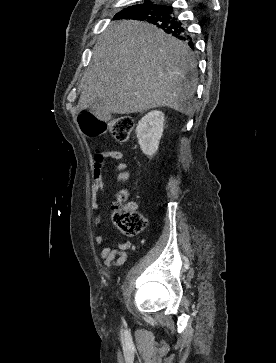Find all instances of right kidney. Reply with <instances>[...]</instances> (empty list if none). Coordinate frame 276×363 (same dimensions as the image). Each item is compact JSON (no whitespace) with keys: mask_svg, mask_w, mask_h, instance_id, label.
I'll return each mask as SVG.
<instances>
[{"mask_svg":"<svg viewBox=\"0 0 276 363\" xmlns=\"http://www.w3.org/2000/svg\"><path fill=\"white\" fill-rule=\"evenodd\" d=\"M164 114L151 111L138 122L136 134L142 152L147 156L154 155L159 147L164 127Z\"/></svg>","mask_w":276,"mask_h":363,"instance_id":"obj_1","label":"right kidney"}]
</instances>
